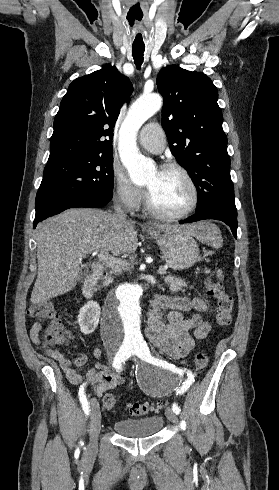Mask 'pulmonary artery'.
<instances>
[{
	"instance_id": "obj_1",
	"label": "pulmonary artery",
	"mask_w": 279,
	"mask_h": 490,
	"mask_svg": "<svg viewBox=\"0 0 279 490\" xmlns=\"http://www.w3.org/2000/svg\"><path fill=\"white\" fill-rule=\"evenodd\" d=\"M164 129L156 122L146 125L140 132V144L153 153H160L165 147Z\"/></svg>"
}]
</instances>
